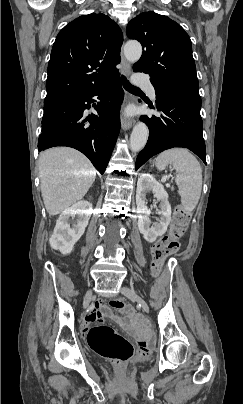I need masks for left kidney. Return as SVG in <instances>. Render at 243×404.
<instances>
[{
    "label": "left kidney",
    "mask_w": 243,
    "mask_h": 404,
    "mask_svg": "<svg viewBox=\"0 0 243 404\" xmlns=\"http://www.w3.org/2000/svg\"><path fill=\"white\" fill-rule=\"evenodd\" d=\"M147 192H153L155 198L160 202L161 210L158 212L160 218L153 226H150L151 222L149 220L151 210H148L145 202ZM136 204L139 232L143 234L146 242L153 244L157 236H163L167 232V228L171 222V206L168 202V194L165 192L164 186L160 182H157L151 174H141L137 182Z\"/></svg>",
    "instance_id": "left-kidney-1"
}]
</instances>
